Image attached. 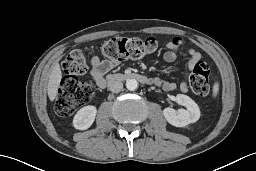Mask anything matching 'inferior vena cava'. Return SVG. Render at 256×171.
Returning a JSON list of instances; mask_svg holds the SVG:
<instances>
[{
    "label": "inferior vena cava",
    "instance_id": "obj_1",
    "mask_svg": "<svg viewBox=\"0 0 256 171\" xmlns=\"http://www.w3.org/2000/svg\"><path fill=\"white\" fill-rule=\"evenodd\" d=\"M109 89L113 93H118L123 89V83L121 81H113L109 84Z\"/></svg>",
    "mask_w": 256,
    "mask_h": 171
}]
</instances>
